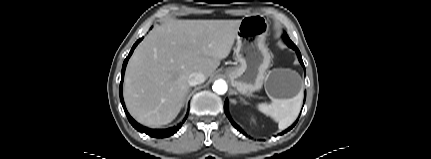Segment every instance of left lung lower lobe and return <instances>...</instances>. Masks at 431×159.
<instances>
[{
  "label": "left lung lower lobe",
  "mask_w": 431,
  "mask_h": 159,
  "mask_svg": "<svg viewBox=\"0 0 431 159\" xmlns=\"http://www.w3.org/2000/svg\"><path fill=\"white\" fill-rule=\"evenodd\" d=\"M288 46H290L291 48H293L295 51H296V53H297V56H298V59H299V61H300V63L302 64V66H304V63H303V61H302V57H301V54H300V51L298 50V48L294 45V44H287ZM224 111H225V114L227 115V117H228V119L231 121V123H232V125L238 130V131H240L241 133H243L244 135H246L244 132H243V130L231 119V117H230V115H229V113H228V100L226 99V101H225V104H224ZM298 121V120H297ZM297 121L291 126V127H289L288 129H286L285 131H283L282 133H280V135H282V134H284V133H286V132H288L289 130H291L295 125H296V123H297Z\"/></svg>",
  "instance_id": "left-lung-lower-lobe-1"
}]
</instances>
